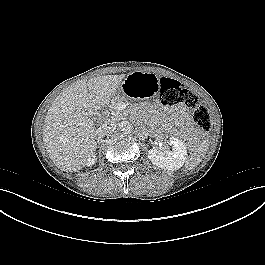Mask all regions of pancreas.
I'll use <instances>...</instances> for the list:
<instances>
[{"label": "pancreas", "mask_w": 265, "mask_h": 265, "mask_svg": "<svg viewBox=\"0 0 265 265\" xmlns=\"http://www.w3.org/2000/svg\"><path fill=\"white\" fill-rule=\"evenodd\" d=\"M121 104H128V100L124 96H116L111 101L110 111H111V118L113 120H121L123 119V114L119 108Z\"/></svg>", "instance_id": "cf45deb5"}]
</instances>
